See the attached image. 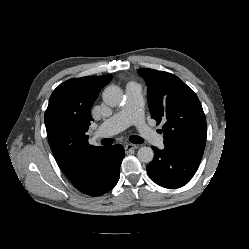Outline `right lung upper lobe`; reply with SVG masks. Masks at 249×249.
I'll use <instances>...</instances> for the list:
<instances>
[{"label":"right lung upper lobe","mask_w":249,"mask_h":249,"mask_svg":"<svg viewBox=\"0 0 249 249\" xmlns=\"http://www.w3.org/2000/svg\"><path fill=\"white\" fill-rule=\"evenodd\" d=\"M111 75L72 78L52 93L44 120L53 155L72 184L78 182L81 169L101 155L106 147L88 143L91 107Z\"/></svg>","instance_id":"1"}]
</instances>
